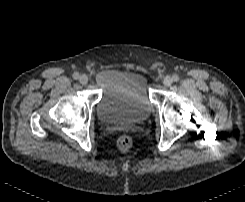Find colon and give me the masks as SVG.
Returning <instances> with one entry per match:
<instances>
[{"mask_svg": "<svg viewBox=\"0 0 245 202\" xmlns=\"http://www.w3.org/2000/svg\"><path fill=\"white\" fill-rule=\"evenodd\" d=\"M132 139L127 135H123L118 139V148L122 152H127L132 146Z\"/></svg>", "mask_w": 245, "mask_h": 202, "instance_id": "5ec220e1", "label": "colon"}]
</instances>
